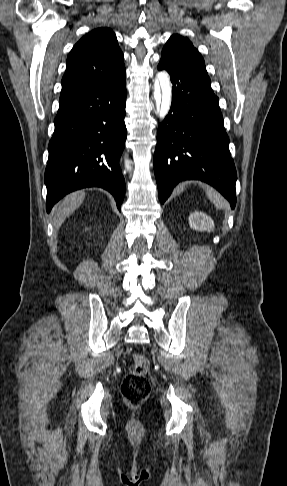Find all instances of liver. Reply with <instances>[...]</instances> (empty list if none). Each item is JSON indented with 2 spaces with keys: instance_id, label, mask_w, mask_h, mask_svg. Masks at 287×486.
Segmentation results:
<instances>
[{
  "instance_id": "1",
  "label": "liver",
  "mask_w": 287,
  "mask_h": 486,
  "mask_svg": "<svg viewBox=\"0 0 287 486\" xmlns=\"http://www.w3.org/2000/svg\"><path fill=\"white\" fill-rule=\"evenodd\" d=\"M85 199L84 191H76L67 195L53 209V224L55 229H59L64 221L73 214Z\"/></svg>"
}]
</instances>
